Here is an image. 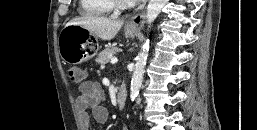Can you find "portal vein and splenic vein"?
<instances>
[{"instance_id":"obj_1","label":"portal vein and splenic vein","mask_w":257,"mask_h":130,"mask_svg":"<svg viewBox=\"0 0 257 130\" xmlns=\"http://www.w3.org/2000/svg\"><path fill=\"white\" fill-rule=\"evenodd\" d=\"M110 62H111V64H115L118 62V59L113 57V58H111Z\"/></svg>"}]
</instances>
